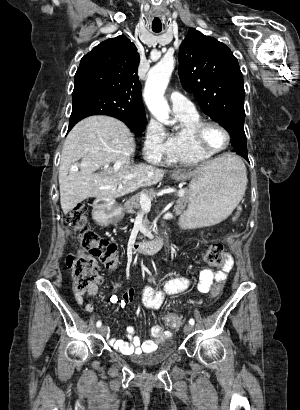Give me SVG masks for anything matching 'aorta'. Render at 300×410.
Segmentation results:
<instances>
[{
	"mask_svg": "<svg viewBox=\"0 0 300 410\" xmlns=\"http://www.w3.org/2000/svg\"><path fill=\"white\" fill-rule=\"evenodd\" d=\"M175 60L165 56L150 69L144 88V99L151 114L165 125L173 124L169 119L170 108L164 98Z\"/></svg>",
	"mask_w": 300,
	"mask_h": 410,
	"instance_id": "762f6f07",
	"label": "aorta"
}]
</instances>
